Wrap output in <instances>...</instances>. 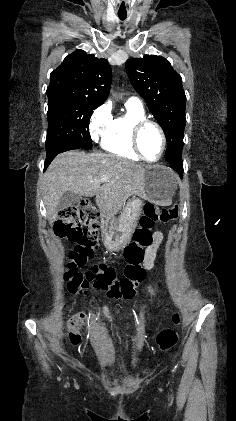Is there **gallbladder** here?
<instances>
[{"label": "gallbladder", "instance_id": "bac80fb5", "mask_svg": "<svg viewBox=\"0 0 236 421\" xmlns=\"http://www.w3.org/2000/svg\"><path fill=\"white\" fill-rule=\"evenodd\" d=\"M79 200H82V194L72 192V190H67V192L62 194L57 204V211H63V208H67V206H74V204H77Z\"/></svg>", "mask_w": 236, "mask_h": 421}]
</instances>
